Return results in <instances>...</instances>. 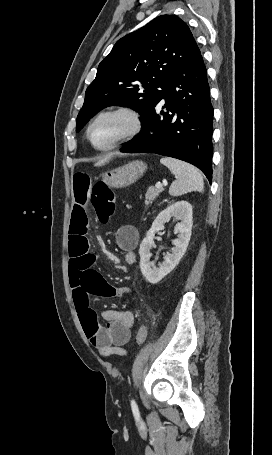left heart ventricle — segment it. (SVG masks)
<instances>
[{
    "label": "left heart ventricle",
    "mask_w": 272,
    "mask_h": 455,
    "mask_svg": "<svg viewBox=\"0 0 272 455\" xmlns=\"http://www.w3.org/2000/svg\"><path fill=\"white\" fill-rule=\"evenodd\" d=\"M127 127L128 121L125 117L119 115L106 116L93 126L91 138L97 146L104 147L119 138Z\"/></svg>",
    "instance_id": "left-heart-ventricle-1"
}]
</instances>
